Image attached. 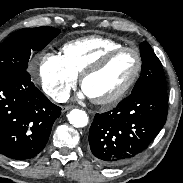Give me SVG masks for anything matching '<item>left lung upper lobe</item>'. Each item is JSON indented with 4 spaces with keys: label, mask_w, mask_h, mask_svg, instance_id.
Wrapping results in <instances>:
<instances>
[{
    "label": "left lung upper lobe",
    "mask_w": 183,
    "mask_h": 183,
    "mask_svg": "<svg viewBox=\"0 0 183 183\" xmlns=\"http://www.w3.org/2000/svg\"><path fill=\"white\" fill-rule=\"evenodd\" d=\"M140 54L142 58L141 76L132 92L146 88L166 89V79L161 62L146 41L140 45Z\"/></svg>",
    "instance_id": "obj_1"
}]
</instances>
